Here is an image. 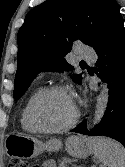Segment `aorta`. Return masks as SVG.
I'll return each instance as SVG.
<instances>
[{"instance_id": "762f6f07", "label": "aorta", "mask_w": 125, "mask_h": 167, "mask_svg": "<svg viewBox=\"0 0 125 167\" xmlns=\"http://www.w3.org/2000/svg\"><path fill=\"white\" fill-rule=\"evenodd\" d=\"M108 103V88L106 84L102 85L100 94L96 99L95 113L93 117V124L101 121Z\"/></svg>"}]
</instances>
